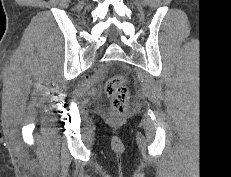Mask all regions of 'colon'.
<instances>
[{
    "mask_svg": "<svg viewBox=\"0 0 231 177\" xmlns=\"http://www.w3.org/2000/svg\"><path fill=\"white\" fill-rule=\"evenodd\" d=\"M127 82L125 76L118 75L110 78L105 85L106 94L111 99V106L116 114H123L128 105L130 93Z\"/></svg>",
    "mask_w": 231,
    "mask_h": 177,
    "instance_id": "obj_1",
    "label": "colon"
}]
</instances>
